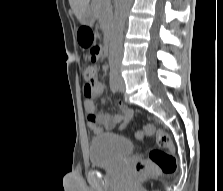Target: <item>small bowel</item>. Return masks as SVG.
I'll use <instances>...</instances> for the list:
<instances>
[{"label": "small bowel", "instance_id": "obj_1", "mask_svg": "<svg viewBox=\"0 0 223 191\" xmlns=\"http://www.w3.org/2000/svg\"><path fill=\"white\" fill-rule=\"evenodd\" d=\"M105 89V83L95 80L92 84H86L83 90L86 97L84 108L87 113V125L97 135L104 133V129H112L116 124L124 127L133 117L132 109L128 108L122 102L118 103L119 113L113 116L103 110L97 109L94 99L101 97Z\"/></svg>", "mask_w": 223, "mask_h": 191}]
</instances>
